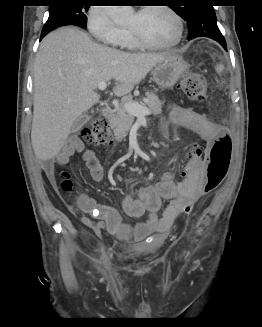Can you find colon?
I'll list each match as a JSON object with an SVG mask.
<instances>
[{
	"label": "colon",
	"mask_w": 262,
	"mask_h": 327,
	"mask_svg": "<svg viewBox=\"0 0 262 327\" xmlns=\"http://www.w3.org/2000/svg\"><path fill=\"white\" fill-rule=\"evenodd\" d=\"M179 86L184 94L191 100L203 102L207 98V81L205 77L196 72L186 73L180 80ZM81 137L86 144L94 146H104L111 143L112 135L105 116H97L92 124L83 129ZM194 151L205 150L206 155V173L201 192L186 200L182 213L189 214L197 201L204 195L216 189L224 180L231 160L232 143L229 132L221 128L213 145L204 149L195 147ZM71 181L67 174L60 183V187L65 190H71Z\"/></svg>",
	"instance_id": "1"
}]
</instances>
